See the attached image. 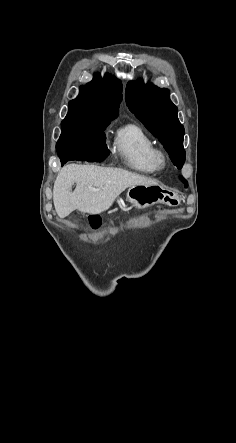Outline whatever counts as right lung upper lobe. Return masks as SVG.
Here are the masks:
<instances>
[{
	"mask_svg": "<svg viewBox=\"0 0 236 443\" xmlns=\"http://www.w3.org/2000/svg\"><path fill=\"white\" fill-rule=\"evenodd\" d=\"M122 101V83L109 73L102 79L96 74L93 80L80 87L79 95L68 105L69 114L118 115Z\"/></svg>",
	"mask_w": 236,
	"mask_h": 443,
	"instance_id": "obj_1",
	"label": "right lung upper lobe"
}]
</instances>
